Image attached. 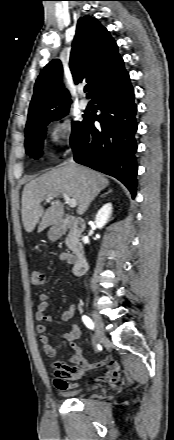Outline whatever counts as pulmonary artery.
Listing matches in <instances>:
<instances>
[{
    "mask_svg": "<svg viewBox=\"0 0 174 440\" xmlns=\"http://www.w3.org/2000/svg\"><path fill=\"white\" fill-rule=\"evenodd\" d=\"M87 106H88V101L87 100H85V99H80L79 100L78 107L80 109H85V108H87Z\"/></svg>",
    "mask_w": 174,
    "mask_h": 440,
    "instance_id": "1",
    "label": "pulmonary artery"
}]
</instances>
